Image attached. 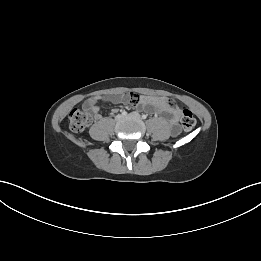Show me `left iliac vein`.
Returning <instances> with one entry per match:
<instances>
[{
    "mask_svg": "<svg viewBox=\"0 0 261 261\" xmlns=\"http://www.w3.org/2000/svg\"><path fill=\"white\" fill-rule=\"evenodd\" d=\"M126 117L134 118V119H140L141 118V116L138 112H132V113L128 114Z\"/></svg>",
    "mask_w": 261,
    "mask_h": 261,
    "instance_id": "4c4485c4",
    "label": "left iliac vein"
}]
</instances>
